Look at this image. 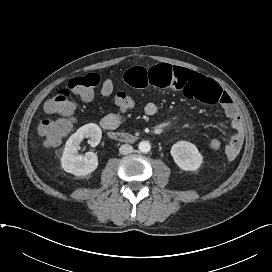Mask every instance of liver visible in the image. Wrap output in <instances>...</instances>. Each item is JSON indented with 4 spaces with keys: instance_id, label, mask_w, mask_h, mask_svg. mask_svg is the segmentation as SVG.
Wrapping results in <instances>:
<instances>
[{
    "instance_id": "6515ba94",
    "label": "liver",
    "mask_w": 272,
    "mask_h": 272,
    "mask_svg": "<svg viewBox=\"0 0 272 272\" xmlns=\"http://www.w3.org/2000/svg\"><path fill=\"white\" fill-rule=\"evenodd\" d=\"M31 146H33V147H34V144H33V143H31Z\"/></svg>"
}]
</instances>
